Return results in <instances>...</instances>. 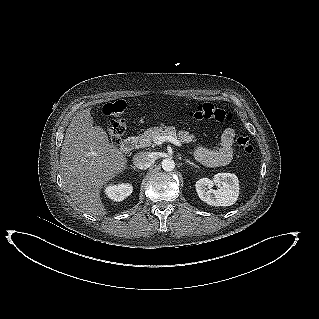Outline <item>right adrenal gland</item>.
I'll return each instance as SVG.
<instances>
[{
    "instance_id": "right-adrenal-gland-1",
    "label": "right adrenal gland",
    "mask_w": 319,
    "mask_h": 319,
    "mask_svg": "<svg viewBox=\"0 0 319 319\" xmlns=\"http://www.w3.org/2000/svg\"><path fill=\"white\" fill-rule=\"evenodd\" d=\"M132 168H133L134 170L138 171L135 167L132 166Z\"/></svg>"
}]
</instances>
